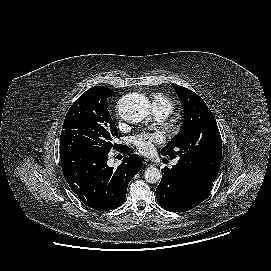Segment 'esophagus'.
<instances>
[{
	"label": "esophagus",
	"mask_w": 271,
	"mask_h": 271,
	"mask_svg": "<svg viewBox=\"0 0 271 271\" xmlns=\"http://www.w3.org/2000/svg\"><path fill=\"white\" fill-rule=\"evenodd\" d=\"M143 163H144V165H146V166H152V165H153V163H152L151 160H149V159H143Z\"/></svg>",
	"instance_id": "1"
}]
</instances>
